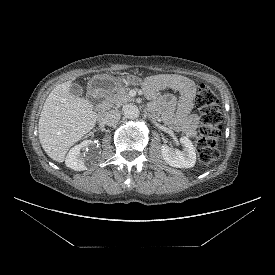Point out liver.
<instances>
[{
	"instance_id": "1",
	"label": "liver",
	"mask_w": 275,
	"mask_h": 275,
	"mask_svg": "<svg viewBox=\"0 0 275 275\" xmlns=\"http://www.w3.org/2000/svg\"><path fill=\"white\" fill-rule=\"evenodd\" d=\"M70 86L71 81H66L50 92L38 124L42 148L50 158L60 163L65 160L69 148L95 127L98 118L92 104L85 98L72 95Z\"/></svg>"
}]
</instances>
